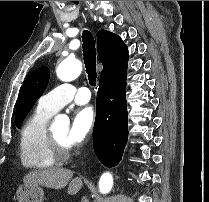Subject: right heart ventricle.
Listing matches in <instances>:
<instances>
[{"label": "right heart ventricle", "mask_w": 209, "mask_h": 202, "mask_svg": "<svg viewBox=\"0 0 209 202\" xmlns=\"http://www.w3.org/2000/svg\"><path fill=\"white\" fill-rule=\"evenodd\" d=\"M53 114L38 106L23 123L19 155L24 166L46 169L56 163L57 156L50 145L47 131V123Z\"/></svg>", "instance_id": "1"}]
</instances>
